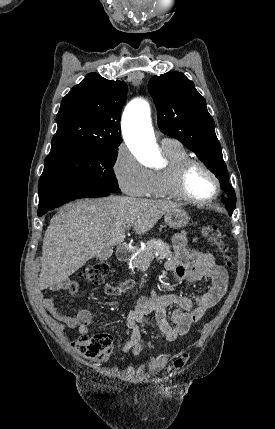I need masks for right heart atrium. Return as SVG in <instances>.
I'll return each mask as SVG.
<instances>
[{"instance_id": "d8ad5b80", "label": "right heart atrium", "mask_w": 275, "mask_h": 429, "mask_svg": "<svg viewBox=\"0 0 275 429\" xmlns=\"http://www.w3.org/2000/svg\"><path fill=\"white\" fill-rule=\"evenodd\" d=\"M112 168L124 193L134 197L148 194L152 181L151 171L143 166L125 145L117 148Z\"/></svg>"}]
</instances>
